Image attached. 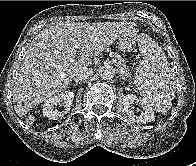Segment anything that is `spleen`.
I'll use <instances>...</instances> for the list:
<instances>
[{
  "mask_svg": "<svg viewBox=\"0 0 196 166\" xmlns=\"http://www.w3.org/2000/svg\"><path fill=\"white\" fill-rule=\"evenodd\" d=\"M140 50L143 54V68L135 77V84L140 95L156 112L166 113L175 98V74L162 48L155 41H141Z\"/></svg>",
  "mask_w": 196,
  "mask_h": 166,
  "instance_id": "obj_1",
  "label": "spleen"
}]
</instances>
